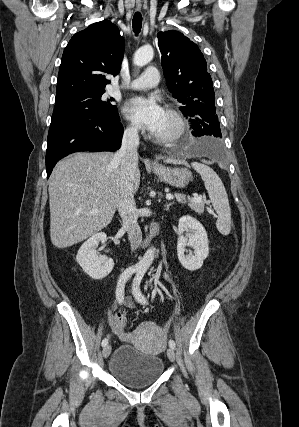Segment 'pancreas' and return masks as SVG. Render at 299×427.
Returning <instances> with one entry per match:
<instances>
[{
    "mask_svg": "<svg viewBox=\"0 0 299 427\" xmlns=\"http://www.w3.org/2000/svg\"><path fill=\"white\" fill-rule=\"evenodd\" d=\"M176 201L181 204H187L193 211H195L197 214L201 215L204 212V202L201 201H193L192 199L188 198L186 200V196L180 193L174 194Z\"/></svg>",
    "mask_w": 299,
    "mask_h": 427,
    "instance_id": "1",
    "label": "pancreas"
}]
</instances>
